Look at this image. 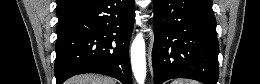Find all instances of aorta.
<instances>
[{
	"label": "aorta",
	"instance_id": "1",
	"mask_svg": "<svg viewBox=\"0 0 260 84\" xmlns=\"http://www.w3.org/2000/svg\"><path fill=\"white\" fill-rule=\"evenodd\" d=\"M131 66L136 81L143 84L146 77V50L142 33H138L132 42Z\"/></svg>",
	"mask_w": 260,
	"mask_h": 84
}]
</instances>
